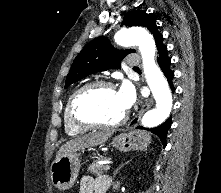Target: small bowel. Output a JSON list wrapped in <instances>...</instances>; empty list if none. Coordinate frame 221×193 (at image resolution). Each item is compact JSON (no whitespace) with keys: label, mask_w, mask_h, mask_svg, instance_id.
<instances>
[{"label":"small bowel","mask_w":221,"mask_h":193,"mask_svg":"<svg viewBox=\"0 0 221 193\" xmlns=\"http://www.w3.org/2000/svg\"><path fill=\"white\" fill-rule=\"evenodd\" d=\"M110 186V179L108 177H97L84 176L81 180L80 193H97L99 190L104 192Z\"/></svg>","instance_id":"small-bowel-1"}]
</instances>
